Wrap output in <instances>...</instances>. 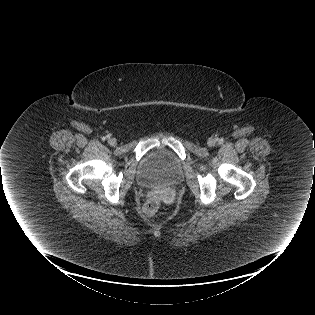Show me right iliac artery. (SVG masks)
Returning a JSON list of instances; mask_svg holds the SVG:
<instances>
[{
    "label": "right iliac artery",
    "mask_w": 315,
    "mask_h": 315,
    "mask_svg": "<svg viewBox=\"0 0 315 315\" xmlns=\"http://www.w3.org/2000/svg\"><path fill=\"white\" fill-rule=\"evenodd\" d=\"M107 138L106 137H102V140L105 141Z\"/></svg>",
    "instance_id": "right-iliac-artery-1"
}]
</instances>
